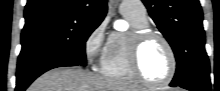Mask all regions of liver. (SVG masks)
Instances as JSON below:
<instances>
[{"instance_id": "liver-1", "label": "liver", "mask_w": 220, "mask_h": 91, "mask_svg": "<svg viewBox=\"0 0 220 91\" xmlns=\"http://www.w3.org/2000/svg\"><path fill=\"white\" fill-rule=\"evenodd\" d=\"M27 91H139L133 85L92 73L78 67L52 69L37 78Z\"/></svg>"}]
</instances>
